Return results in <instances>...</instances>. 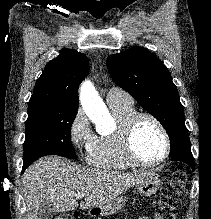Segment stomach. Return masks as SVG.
I'll return each instance as SVG.
<instances>
[{"instance_id": "0dacf381", "label": "stomach", "mask_w": 211, "mask_h": 219, "mask_svg": "<svg viewBox=\"0 0 211 219\" xmlns=\"http://www.w3.org/2000/svg\"><path fill=\"white\" fill-rule=\"evenodd\" d=\"M159 186L160 179L158 175H156L155 173H151L146 176V178L142 182L137 184V190L143 196H151L157 192ZM127 202L128 197L121 195L107 204L93 208L92 210H90L89 213L93 215L99 214L102 216L112 215L124 208Z\"/></svg>"}]
</instances>
